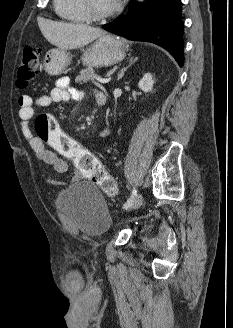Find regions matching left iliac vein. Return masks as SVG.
<instances>
[{
	"label": "left iliac vein",
	"mask_w": 233,
	"mask_h": 328,
	"mask_svg": "<svg viewBox=\"0 0 233 328\" xmlns=\"http://www.w3.org/2000/svg\"><path fill=\"white\" fill-rule=\"evenodd\" d=\"M143 204V196L141 194L137 195L135 200L132 202V204L127 208L130 210H134L139 208Z\"/></svg>",
	"instance_id": "left-iliac-vein-1"
}]
</instances>
